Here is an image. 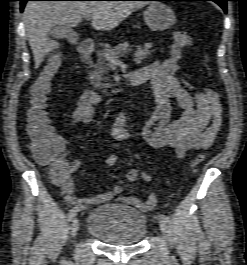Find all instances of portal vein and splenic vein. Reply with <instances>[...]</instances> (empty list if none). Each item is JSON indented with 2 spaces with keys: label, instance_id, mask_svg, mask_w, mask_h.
Here are the masks:
<instances>
[{
  "label": "portal vein and splenic vein",
  "instance_id": "obj_1",
  "mask_svg": "<svg viewBox=\"0 0 247 265\" xmlns=\"http://www.w3.org/2000/svg\"><path fill=\"white\" fill-rule=\"evenodd\" d=\"M85 19H86V20H90V15L86 16ZM126 53H128V51H125V52L123 53V55L126 54ZM110 62H111V63H118V62H119V57H116V56H112V57H110Z\"/></svg>",
  "mask_w": 247,
  "mask_h": 265
}]
</instances>
